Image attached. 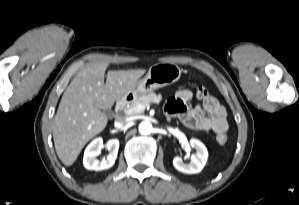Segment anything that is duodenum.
I'll list each match as a JSON object with an SVG mask.
<instances>
[{"mask_svg": "<svg viewBox=\"0 0 299 205\" xmlns=\"http://www.w3.org/2000/svg\"><path fill=\"white\" fill-rule=\"evenodd\" d=\"M124 102H125V101H120V102H118V103L116 104V110H119V109L122 107V105L124 104Z\"/></svg>", "mask_w": 299, "mask_h": 205, "instance_id": "obj_1", "label": "duodenum"}]
</instances>
